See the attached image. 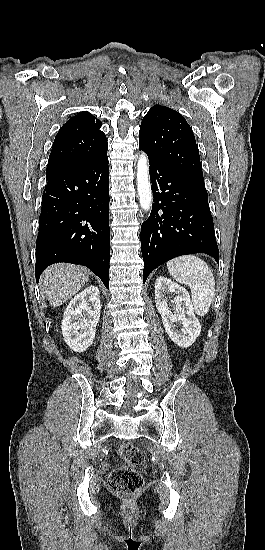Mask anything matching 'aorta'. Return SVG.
<instances>
[{"mask_svg": "<svg viewBox=\"0 0 265 550\" xmlns=\"http://www.w3.org/2000/svg\"><path fill=\"white\" fill-rule=\"evenodd\" d=\"M137 190L141 208L146 212L149 211L153 197L149 180L148 158L145 153L140 154L137 163Z\"/></svg>", "mask_w": 265, "mask_h": 550, "instance_id": "obj_1", "label": "aorta"}]
</instances>
